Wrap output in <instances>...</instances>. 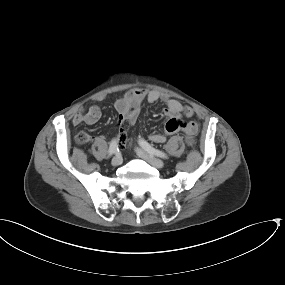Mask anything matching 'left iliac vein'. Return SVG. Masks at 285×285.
<instances>
[{"label": "left iliac vein", "mask_w": 285, "mask_h": 285, "mask_svg": "<svg viewBox=\"0 0 285 285\" xmlns=\"http://www.w3.org/2000/svg\"><path fill=\"white\" fill-rule=\"evenodd\" d=\"M136 153L138 156H140L142 159L147 161L149 164L156 168H163L164 162L158 158H156L154 155L149 154L146 150L142 148H136Z\"/></svg>", "instance_id": "left-iliac-vein-1"}]
</instances>
